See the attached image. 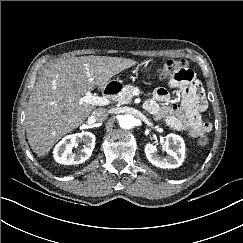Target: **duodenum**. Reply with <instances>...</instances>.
<instances>
[{
    "instance_id": "obj_1",
    "label": "duodenum",
    "mask_w": 243,
    "mask_h": 243,
    "mask_svg": "<svg viewBox=\"0 0 243 243\" xmlns=\"http://www.w3.org/2000/svg\"><path fill=\"white\" fill-rule=\"evenodd\" d=\"M121 90V85L117 82H111L104 88V95L107 97H114Z\"/></svg>"
}]
</instances>
